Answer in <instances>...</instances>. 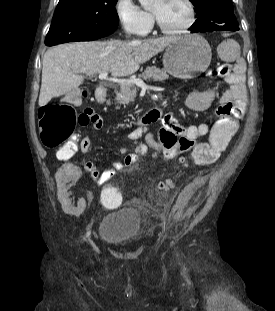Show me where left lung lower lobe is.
Wrapping results in <instances>:
<instances>
[{
	"instance_id": "obj_1",
	"label": "left lung lower lobe",
	"mask_w": 275,
	"mask_h": 311,
	"mask_svg": "<svg viewBox=\"0 0 275 311\" xmlns=\"http://www.w3.org/2000/svg\"><path fill=\"white\" fill-rule=\"evenodd\" d=\"M191 30H192V32H198V31H196L195 29H192V28H191Z\"/></svg>"
}]
</instances>
